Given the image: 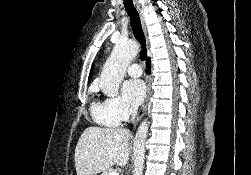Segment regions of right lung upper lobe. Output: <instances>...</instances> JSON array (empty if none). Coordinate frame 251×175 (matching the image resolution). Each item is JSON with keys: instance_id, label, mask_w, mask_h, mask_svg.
<instances>
[{"instance_id": "right-lung-upper-lobe-1", "label": "right lung upper lobe", "mask_w": 251, "mask_h": 175, "mask_svg": "<svg viewBox=\"0 0 251 175\" xmlns=\"http://www.w3.org/2000/svg\"><path fill=\"white\" fill-rule=\"evenodd\" d=\"M91 74H92V73H90L89 80H90V78H91Z\"/></svg>"}]
</instances>
